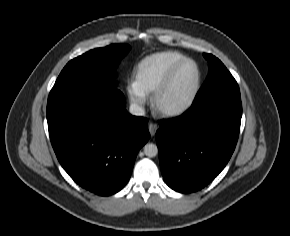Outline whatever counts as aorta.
I'll return each mask as SVG.
<instances>
[{"mask_svg":"<svg viewBox=\"0 0 290 236\" xmlns=\"http://www.w3.org/2000/svg\"><path fill=\"white\" fill-rule=\"evenodd\" d=\"M144 154L148 157H155L158 154V148L153 143H147L144 146Z\"/></svg>","mask_w":290,"mask_h":236,"instance_id":"obj_1","label":"aorta"}]
</instances>
